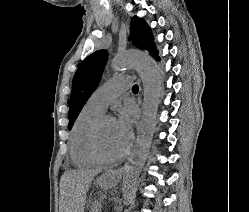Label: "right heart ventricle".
Masks as SVG:
<instances>
[{"instance_id": "e07e8e85", "label": "right heart ventricle", "mask_w": 249, "mask_h": 212, "mask_svg": "<svg viewBox=\"0 0 249 212\" xmlns=\"http://www.w3.org/2000/svg\"><path fill=\"white\" fill-rule=\"evenodd\" d=\"M103 111L95 108L89 102L78 112L69 136V158L78 168H88L97 164L89 153L87 140L89 131Z\"/></svg>"}]
</instances>
